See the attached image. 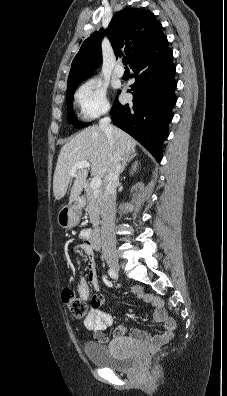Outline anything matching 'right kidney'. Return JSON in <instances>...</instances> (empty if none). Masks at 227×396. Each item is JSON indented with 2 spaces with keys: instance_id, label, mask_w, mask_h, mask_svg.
Listing matches in <instances>:
<instances>
[{
  "instance_id": "1",
  "label": "right kidney",
  "mask_w": 227,
  "mask_h": 396,
  "mask_svg": "<svg viewBox=\"0 0 227 396\" xmlns=\"http://www.w3.org/2000/svg\"><path fill=\"white\" fill-rule=\"evenodd\" d=\"M136 165H137V163H135V165H134L133 169H136Z\"/></svg>"
}]
</instances>
